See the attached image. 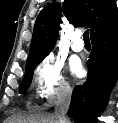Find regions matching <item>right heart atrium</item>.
<instances>
[{
  "mask_svg": "<svg viewBox=\"0 0 118 123\" xmlns=\"http://www.w3.org/2000/svg\"><path fill=\"white\" fill-rule=\"evenodd\" d=\"M35 87L47 105L68 96L71 86L64 76L63 65L52 55L44 57L33 73Z\"/></svg>",
  "mask_w": 118,
  "mask_h": 123,
  "instance_id": "1",
  "label": "right heart atrium"
}]
</instances>
